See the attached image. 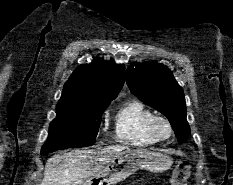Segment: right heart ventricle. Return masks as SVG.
Returning <instances> with one entry per match:
<instances>
[{"label": "right heart ventricle", "mask_w": 233, "mask_h": 185, "mask_svg": "<svg viewBox=\"0 0 233 185\" xmlns=\"http://www.w3.org/2000/svg\"><path fill=\"white\" fill-rule=\"evenodd\" d=\"M154 113L141 101L129 100L117 111L114 123L118 141L135 146L146 147L159 140L151 131Z\"/></svg>", "instance_id": "right-heart-ventricle-1"}]
</instances>
